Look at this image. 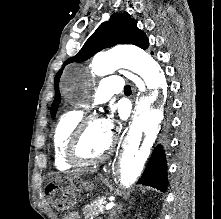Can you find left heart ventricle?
I'll use <instances>...</instances> for the list:
<instances>
[{
  "instance_id": "left-heart-ventricle-1",
  "label": "left heart ventricle",
  "mask_w": 221,
  "mask_h": 219,
  "mask_svg": "<svg viewBox=\"0 0 221 219\" xmlns=\"http://www.w3.org/2000/svg\"><path fill=\"white\" fill-rule=\"evenodd\" d=\"M110 134L101 126V122L94 120L86 128L81 144L79 154L82 158L91 159L102 154L108 147Z\"/></svg>"
}]
</instances>
